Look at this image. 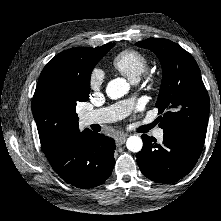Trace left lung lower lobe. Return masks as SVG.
Listing matches in <instances>:
<instances>
[{
  "label": "left lung lower lobe",
  "instance_id": "obj_1",
  "mask_svg": "<svg viewBox=\"0 0 221 221\" xmlns=\"http://www.w3.org/2000/svg\"><path fill=\"white\" fill-rule=\"evenodd\" d=\"M143 148L136 154L141 172L149 179L171 183L187 175L196 164L204 143L186 135L164 131L162 143L142 135Z\"/></svg>",
  "mask_w": 221,
  "mask_h": 221
}]
</instances>
